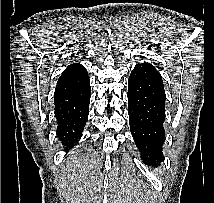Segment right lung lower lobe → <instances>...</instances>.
Returning a JSON list of instances; mask_svg holds the SVG:
<instances>
[{
	"mask_svg": "<svg viewBox=\"0 0 214 203\" xmlns=\"http://www.w3.org/2000/svg\"><path fill=\"white\" fill-rule=\"evenodd\" d=\"M90 96L89 76L82 65L77 64L62 73L56 85L54 104L57 136L66 148L73 146L82 135L88 120Z\"/></svg>",
	"mask_w": 214,
	"mask_h": 203,
	"instance_id": "98d812e1",
	"label": "right lung lower lobe"
}]
</instances>
